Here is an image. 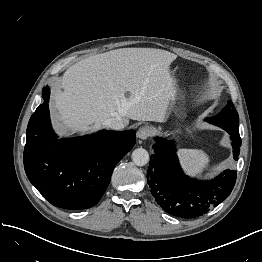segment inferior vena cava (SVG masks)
Returning a JSON list of instances; mask_svg holds the SVG:
<instances>
[{
	"mask_svg": "<svg viewBox=\"0 0 262 262\" xmlns=\"http://www.w3.org/2000/svg\"><path fill=\"white\" fill-rule=\"evenodd\" d=\"M104 124L113 130H122L127 125V123L120 116L109 118Z\"/></svg>",
	"mask_w": 262,
	"mask_h": 262,
	"instance_id": "1",
	"label": "inferior vena cava"
}]
</instances>
